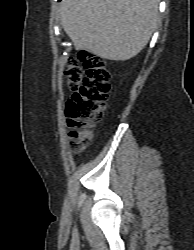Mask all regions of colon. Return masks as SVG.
<instances>
[{"label": "colon", "mask_w": 194, "mask_h": 250, "mask_svg": "<svg viewBox=\"0 0 194 250\" xmlns=\"http://www.w3.org/2000/svg\"><path fill=\"white\" fill-rule=\"evenodd\" d=\"M71 96L66 106L68 136L75 151L90 142L92 129L102 117L109 92L110 72L106 61L86 52L69 59L65 69Z\"/></svg>", "instance_id": "5ec220e1"}]
</instances>
